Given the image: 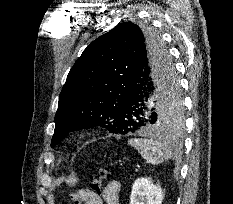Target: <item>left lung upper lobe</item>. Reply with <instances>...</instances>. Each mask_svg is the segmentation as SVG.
<instances>
[{"instance_id":"left-lung-upper-lobe-1","label":"left lung upper lobe","mask_w":233,"mask_h":204,"mask_svg":"<svg viewBox=\"0 0 233 204\" xmlns=\"http://www.w3.org/2000/svg\"><path fill=\"white\" fill-rule=\"evenodd\" d=\"M163 53L169 73L175 72L167 48L149 27L123 22L100 36L83 51L71 68L59 96L51 146L68 133L100 126L123 134L116 124L120 101L127 89L139 51ZM158 125L163 131L183 127L184 111L179 82L172 83L157 104Z\"/></svg>"}]
</instances>
